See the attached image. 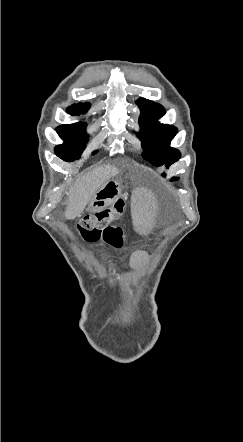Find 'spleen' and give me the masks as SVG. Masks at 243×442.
I'll return each mask as SVG.
<instances>
[{"label":"spleen","instance_id":"1","mask_svg":"<svg viewBox=\"0 0 243 442\" xmlns=\"http://www.w3.org/2000/svg\"><path fill=\"white\" fill-rule=\"evenodd\" d=\"M148 186L144 185L138 193H128V202H135L133 207L135 219H141L140 231H151L154 225L153 209H156L154 193H147Z\"/></svg>","mask_w":243,"mask_h":442}]
</instances>
